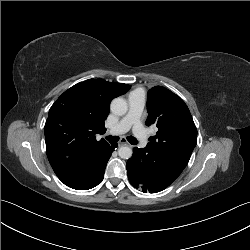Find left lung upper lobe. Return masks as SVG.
<instances>
[{
    "mask_svg": "<svg viewBox=\"0 0 250 250\" xmlns=\"http://www.w3.org/2000/svg\"><path fill=\"white\" fill-rule=\"evenodd\" d=\"M146 125L156 124L158 131L149 138L154 150L171 149L175 159L189 161L197 142V129L185 102L165 87L148 91Z\"/></svg>",
    "mask_w": 250,
    "mask_h": 250,
    "instance_id": "obj_1",
    "label": "left lung upper lobe"
}]
</instances>
